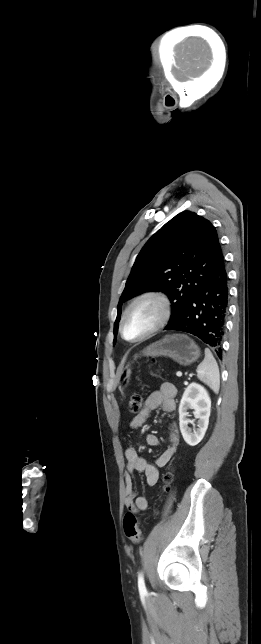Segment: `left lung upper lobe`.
Here are the masks:
<instances>
[{
	"mask_svg": "<svg viewBox=\"0 0 261 644\" xmlns=\"http://www.w3.org/2000/svg\"><path fill=\"white\" fill-rule=\"evenodd\" d=\"M223 257L215 227L192 212H181L145 244L136 258L118 304L140 293L163 291L172 303L174 322Z\"/></svg>",
	"mask_w": 261,
	"mask_h": 644,
	"instance_id": "5c2ea615",
	"label": "left lung upper lobe"
}]
</instances>
